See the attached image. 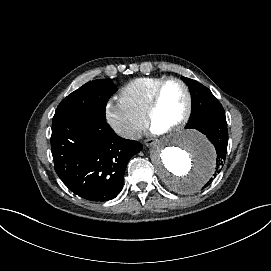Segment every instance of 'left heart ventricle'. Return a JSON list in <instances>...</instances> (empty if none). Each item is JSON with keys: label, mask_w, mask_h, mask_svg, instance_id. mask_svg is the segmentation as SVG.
Returning <instances> with one entry per match:
<instances>
[{"label": "left heart ventricle", "mask_w": 271, "mask_h": 271, "mask_svg": "<svg viewBox=\"0 0 271 271\" xmlns=\"http://www.w3.org/2000/svg\"><path fill=\"white\" fill-rule=\"evenodd\" d=\"M188 98L185 89L178 82H169L163 88L160 105L153 117V126L166 131L186 112Z\"/></svg>", "instance_id": "1"}]
</instances>
